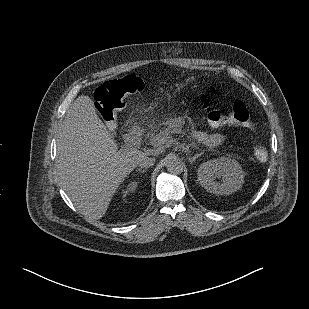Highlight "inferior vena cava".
<instances>
[{
	"instance_id": "inferior-vena-cava-1",
	"label": "inferior vena cava",
	"mask_w": 309,
	"mask_h": 309,
	"mask_svg": "<svg viewBox=\"0 0 309 309\" xmlns=\"http://www.w3.org/2000/svg\"><path fill=\"white\" fill-rule=\"evenodd\" d=\"M155 161H156L155 158L145 156V157L140 159L138 166L140 168L147 169L149 167H152L154 165Z\"/></svg>"
}]
</instances>
